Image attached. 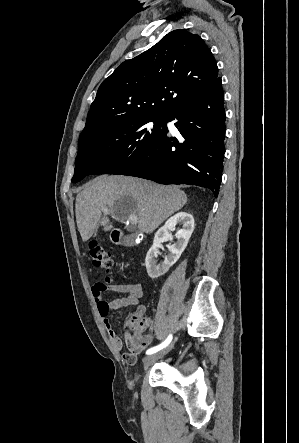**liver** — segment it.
<instances>
[{
	"label": "liver",
	"instance_id": "obj_1",
	"mask_svg": "<svg viewBox=\"0 0 299 443\" xmlns=\"http://www.w3.org/2000/svg\"><path fill=\"white\" fill-rule=\"evenodd\" d=\"M187 201L185 192L176 187L133 177L102 175L87 183L76 197L77 227L86 242L98 224L104 231L113 228L107 214L120 222L136 215L139 231L150 234ZM103 209L109 212L104 214Z\"/></svg>",
	"mask_w": 299,
	"mask_h": 443
}]
</instances>
